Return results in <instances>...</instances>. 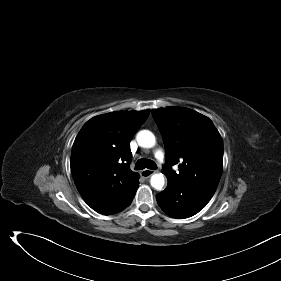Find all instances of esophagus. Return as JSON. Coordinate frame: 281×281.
<instances>
[{"label":"esophagus","mask_w":281,"mask_h":281,"mask_svg":"<svg viewBox=\"0 0 281 281\" xmlns=\"http://www.w3.org/2000/svg\"><path fill=\"white\" fill-rule=\"evenodd\" d=\"M156 171L155 170H152V169H144L141 171V176L145 177V178H148L150 177L151 175H153Z\"/></svg>","instance_id":"obj_1"}]
</instances>
